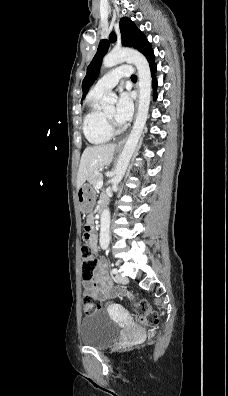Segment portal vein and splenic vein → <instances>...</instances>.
I'll return each instance as SVG.
<instances>
[{
    "instance_id": "obj_1",
    "label": "portal vein and splenic vein",
    "mask_w": 228,
    "mask_h": 396,
    "mask_svg": "<svg viewBox=\"0 0 228 396\" xmlns=\"http://www.w3.org/2000/svg\"><path fill=\"white\" fill-rule=\"evenodd\" d=\"M103 186V180L97 182L95 189H99Z\"/></svg>"
}]
</instances>
